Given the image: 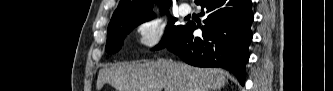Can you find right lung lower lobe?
I'll list each match as a JSON object with an SVG mask.
<instances>
[{"label":"right lung lower lobe","mask_w":333,"mask_h":91,"mask_svg":"<svg viewBox=\"0 0 333 91\" xmlns=\"http://www.w3.org/2000/svg\"><path fill=\"white\" fill-rule=\"evenodd\" d=\"M197 5L206 8L204 25L188 22L167 48L188 64L225 68L244 85L254 20L251 0H200ZM197 28L199 37L193 36Z\"/></svg>","instance_id":"obj_1"}]
</instances>
